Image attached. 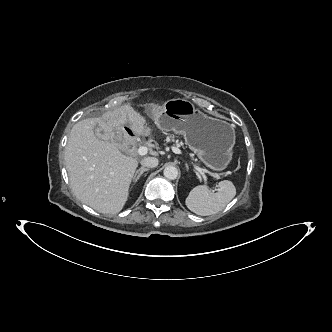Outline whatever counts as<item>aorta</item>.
Masks as SVG:
<instances>
[{
  "mask_svg": "<svg viewBox=\"0 0 332 332\" xmlns=\"http://www.w3.org/2000/svg\"><path fill=\"white\" fill-rule=\"evenodd\" d=\"M164 176L169 180H175L178 177V169L175 166H167L163 171Z\"/></svg>",
  "mask_w": 332,
  "mask_h": 332,
  "instance_id": "762f6f07",
  "label": "aorta"
}]
</instances>
